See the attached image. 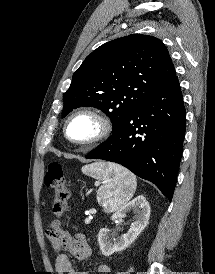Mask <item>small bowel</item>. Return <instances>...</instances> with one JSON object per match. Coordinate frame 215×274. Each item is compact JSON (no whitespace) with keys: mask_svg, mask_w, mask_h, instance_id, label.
<instances>
[{"mask_svg":"<svg viewBox=\"0 0 215 274\" xmlns=\"http://www.w3.org/2000/svg\"><path fill=\"white\" fill-rule=\"evenodd\" d=\"M47 238L51 244L55 255V269L58 274H89L86 270H76L69 256L61 253L65 250L69 255L79 262H88L92 260V250L87 243L86 237L77 231L71 234L57 226L47 232ZM97 272L107 274L110 272L108 265L100 262H94Z\"/></svg>","mask_w":215,"mask_h":274,"instance_id":"c3829d8e","label":"small bowel"}]
</instances>
